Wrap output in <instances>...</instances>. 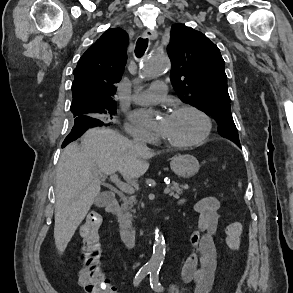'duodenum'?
<instances>
[{
	"label": "duodenum",
	"instance_id": "410a0bca",
	"mask_svg": "<svg viewBox=\"0 0 293 293\" xmlns=\"http://www.w3.org/2000/svg\"><path fill=\"white\" fill-rule=\"evenodd\" d=\"M107 210L113 215L117 224L120 237L127 248L133 249L137 244L138 231L126 220L120 207L119 200L113 198L107 204ZM160 209L154 211V216H158Z\"/></svg>",
	"mask_w": 293,
	"mask_h": 293
}]
</instances>
